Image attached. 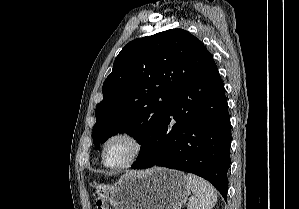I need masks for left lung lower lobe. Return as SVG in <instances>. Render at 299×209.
<instances>
[{
  "mask_svg": "<svg viewBox=\"0 0 299 209\" xmlns=\"http://www.w3.org/2000/svg\"><path fill=\"white\" fill-rule=\"evenodd\" d=\"M230 146L224 85L212 59L170 99L132 168L162 166L194 173L211 182L226 200Z\"/></svg>",
  "mask_w": 299,
  "mask_h": 209,
  "instance_id": "obj_1",
  "label": "left lung lower lobe"
}]
</instances>
